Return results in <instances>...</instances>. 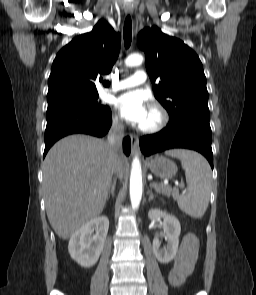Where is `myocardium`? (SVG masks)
<instances>
[{
    "label": "myocardium",
    "instance_id": "obj_1",
    "mask_svg": "<svg viewBox=\"0 0 256 295\" xmlns=\"http://www.w3.org/2000/svg\"><path fill=\"white\" fill-rule=\"evenodd\" d=\"M150 111L155 115V121L150 125L140 126V130L144 133H155L163 129L168 120L167 112L158 104H153Z\"/></svg>",
    "mask_w": 256,
    "mask_h": 295
}]
</instances>
